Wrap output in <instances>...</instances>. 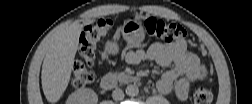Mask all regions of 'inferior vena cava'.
Instances as JSON below:
<instances>
[{
    "label": "inferior vena cava",
    "instance_id": "obj_1",
    "mask_svg": "<svg viewBox=\"0 0 252 104\" xmlns=\"http://www.w3.org/2000/svg\"><path fill=\"white\" fill-rule=\"evenodd\" d=\"M112 97L115 101H121L124 99V92L119 89L116 88L113 92H112Z\"/></svg>",
    "mask_w": 252,
    "mask_h": 104
}]
</instances>
